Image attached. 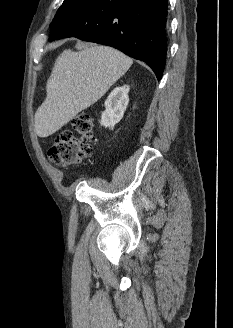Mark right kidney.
<instances>
[{
	"instance_id": "ca27d5eb",
	"label": "right kidney",
	"mask_w": 233,
	"mask_h": 328,
	"mask_svg": "<svg viewBox=\"0 0 233 328\" xmlns=\"http://www.w3.org/2000/svg\"><path fill=\"white\" fill-rule=\"evenodd\" d=\"M129 86L116 87L105 101V111L101 115L100 124L113 130L123 118L129 103Z\"/></svg>"
}]
</instances>
